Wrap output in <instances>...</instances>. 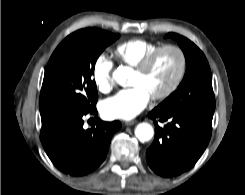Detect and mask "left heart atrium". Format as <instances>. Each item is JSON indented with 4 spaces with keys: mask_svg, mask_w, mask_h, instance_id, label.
<instances>
[{
    "mask_svg": "<svg viewBox=\"0 0 245 195\" xmlns=\"http://www.w3.org/2000/svg\"><path fill=\"white\" fill-rule=\"evenodd\" d=\"M151 95L141 85L121 90L101 103V112L108 119L130 120L141 113Z\"/></svg>",
    "mask_w": 245,
    "mask_h": 195,
    "instance_id": "left-heart-atrium-1",
    "label": "left heart atrium"
}]
</instances>
